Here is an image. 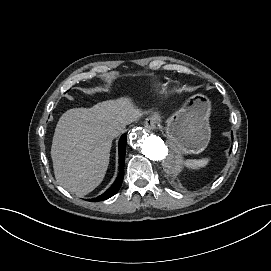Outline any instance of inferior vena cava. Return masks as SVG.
I'll return each instance as SVG.
<instances>
[{
    "instance_id": "obj_1",
    "label": "inferior vena cava",
    "mask_w": 271,
    "mask_h": 271,
    "mask_svg": "<svg viewBox=\"0 0 271 271\" xmlns=\"http://www.w3.org/2000/svg\"><path fill=\"white\" fill-rule=\"evenodd\" d=\"M124 132V130H120V132H118V134L115 135V137H117L120 133Z\"/></svg>"
}]
</instances>
